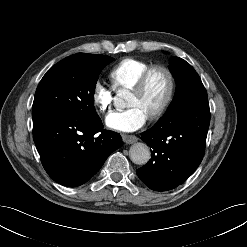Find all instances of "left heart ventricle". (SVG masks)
I'll return each mask as SVG.
<instances>
[{
	"label": "left heart ventricle",
	"mask_w": 247,
	"mask_h": 247,
	"mask_svg": "<svg viewBox=\"0 0 247 247\" xmlns=\"http://www.w3.org/2000/svg\"><path fill=\"white\" fill-rule=\"evenodd\" d=\"M167 89L168 80L166 75L161 71H157L150 77L143 93H131L128 106H139L149 116L161 105L167 93Z\"/></svg>",
	"instance_id": "left-heart-ventricle-1"
}]
</instances>
